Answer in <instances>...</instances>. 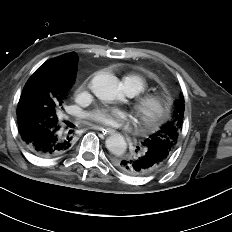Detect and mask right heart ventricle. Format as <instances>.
Segmentation results:
<instances>
[{
    "mask_svg": "<svg viewBox=\"0 0 232 232\" xmlns=\"http://www.w3.org/2000/svg\"><path fill=\"white\" fill-rule=\"evenodd\" d=\"M123 83L134 89L135 94H139L143 91H145L148 87V82L147 80L137 74H128L123 77Z\"/></svg>",
    "mask_w": 232,
    "mask_h": 232,
    "instance_id": "e07e8e85",
    "label": "right heart ventricle"
}]
</instances>
